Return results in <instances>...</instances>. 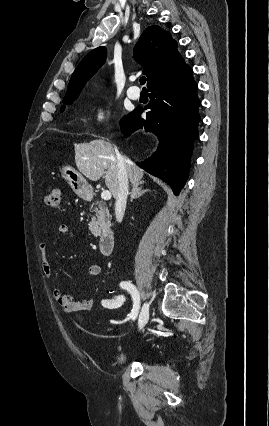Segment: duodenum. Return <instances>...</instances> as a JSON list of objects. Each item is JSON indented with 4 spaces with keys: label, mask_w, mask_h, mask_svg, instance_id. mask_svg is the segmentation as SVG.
<instances>
[{
    "label": "duodenum",
    "mask_w": 269,
    "mask_h": 426,
    "mask_svg": "<svg viewBox=\"0 0 269 426\" xmlns=\"http://www.w3.org/2000/svg\"><path fill=\"white\" fill-rule=\"evenodd\" d=\"M115 242V234L113 230H105L100 235L99 247L103 255H110L113 252Z\"/></svg>",
    "instance_id": "duodenum-1"
}]
</instances>
